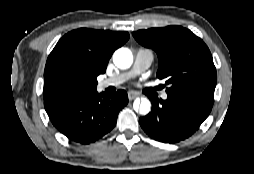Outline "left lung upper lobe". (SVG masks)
Listing matches in <instances>:
<instances>
[{"label": "left lung upper lobe", "mask_w": 254, "mask_h": 174, "mask_svg": "<svg viewBox=\"0 0 254 174\" xmlns=\"http://www.w3.org/2000/svg\"><path fill=\"white\" fill-rule=\"evenodd\" d=\"M143 46L156 51L157 77L165 79L167 94L192 95L214 102L216 68L206 44L190 30L167 26L132 33Z\"/></svg>", "instance_id": "left-lung-upper-lobe-1"}]
</instances>
